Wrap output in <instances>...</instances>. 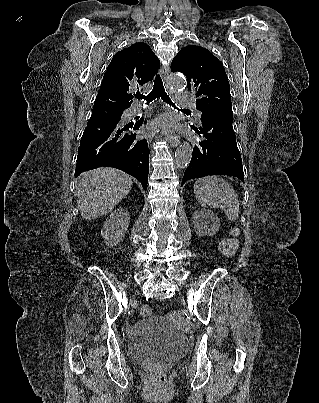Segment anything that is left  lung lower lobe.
I'll use <instances>...</instances> for the list:
<instances>
[{
  "label": "left lung lower lobe",
  "mask_w": 319,
  "mask_h": 403,
  "mask_svg": "<svg viewBox=\"0 0 319 403\" xmlns=\"http://www.w3.org/2000/svg\"><path fill=\"white\" fill-rule=\"evenodd\" d=\"M233 112L217 111L201 116L199 127L191 128L199 135L182 185L207 175H227L244 182L242 159L232 126Z\"/></svg>",
  "instance_id": "1"
}]
</instances>
